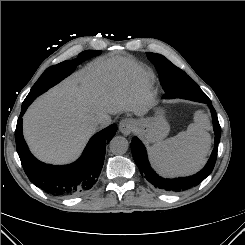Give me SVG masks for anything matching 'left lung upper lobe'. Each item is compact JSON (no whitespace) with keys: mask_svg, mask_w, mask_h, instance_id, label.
Here are the masks:
<instances>
[{"mask_svg":"<svg viewBox=\"0 0 245 245\" xmlns=\"http://www.w3.org/2000/svg\"><path fill=\"white\" fill-rule=\"evenodd\" d=\"M149 60L155 65L160 83L166 94L189 88L199 87L184 71L176 67L160 54L147 52ZM188 84V85H187Z\"/></svg>","mask_w":245,"mask_h":245,"instance_id":"5c2ea615","label":"left lung upper lobe"}]
</instances>
